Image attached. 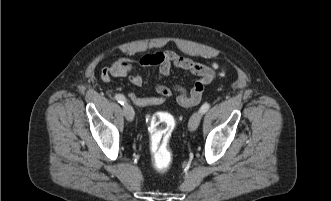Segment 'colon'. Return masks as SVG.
I'll return each instance as SVG.
<instances>
[{"label": "colon", "instance_id": "colon-1", "mask_svg": "<svg viewBox=\"0 0 331 201\" xmlns=\"http://www.w3.org/2000/svg\"><path fill=\"white\" fill-rule=\"evenodd\" d=\"M210 82L208 77L199 78L194 84L190 95L182 99L181 104L185 106L197 104L201 99L205 86ZM149 124L153 166L157 171L164 172L172 163V154L168 143L175 121L168 113L156 112L149 119Z\"/></svg>", "mask_w": 331, "mask_h": 201}]
</instances>
